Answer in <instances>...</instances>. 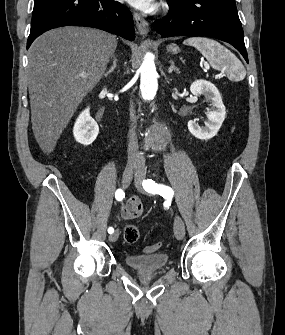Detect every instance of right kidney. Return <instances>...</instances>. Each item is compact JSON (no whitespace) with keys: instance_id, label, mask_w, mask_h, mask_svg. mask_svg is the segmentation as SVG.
<instances>
[{"instance_id":"obj_1","label":"right kidney","mask_w":285,"mask_h":335,"mask_svg":"<svg viewBox=\"0 0 285 335\" xmlns=\"http://www.w3.org/2000/svg\"><path fill=\"white\" fill-rule=\"evenodd\" d=\"M89 110L90 108H86L84 112H81L73 128V136L76 142L83 144V146L92 144L99 134V126L97 122L91 118Z\"/></svg>"}]
</instances>
